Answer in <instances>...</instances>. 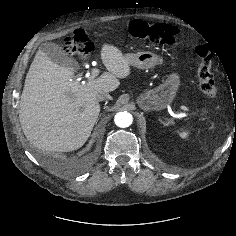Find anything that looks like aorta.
<instances>
[{"mask_svg": "<svg viewBox=\"0 0 236 236\" xmlns=\"http://www.w3.org/2000/svg\"><path fill=\"white\" fill-rule=\"evenodd\" d=\"M115 124L120 128L129 127L133 122V117L129 112H118L114 117Z\"/></svg>", "mask_w": 236, "mask_h": 236, "instance_id": "aorta-1", "label": "aorta"}]
</instances>
